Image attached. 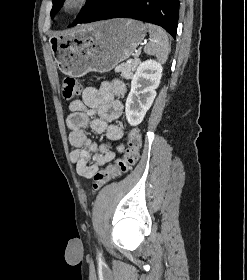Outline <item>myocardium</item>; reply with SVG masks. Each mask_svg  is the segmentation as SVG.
<instances>
[{
  "mask_svg": "<svg viewBox=\"0 0 247 280\" xmlns=\"http://www.w3.org/2000/svg\"><path fill=\"white\" fill-rule=\"evenodd\" d=\"M88 0H64L62 4V9L66 14H74L80 9H82Z\"/></svg>",
  "mask_w": 247,
  "mask_h": 280,
  "instance_id": "1",
  "label": "myocardium"
}]
</instances>
